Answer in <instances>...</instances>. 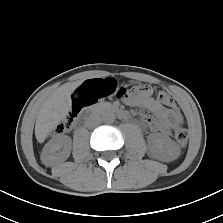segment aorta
<instances>
[{
  "instance_id": "1",
  "label": "aorta",
  "mask_w": 223,
  "mask_h": 223,
  "mask_svg": "<svg viewBox=\"0 0 223 223\" xmlns=\"http://www.w3.org/2000/svg\"><path fill=\"white\" fill-rule=\"evenodd\" d=\"M101 118L105 123H113L115 121V113L112 111H104Z\"/></svg>"
}]
</instances>
